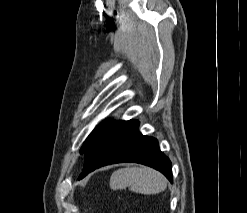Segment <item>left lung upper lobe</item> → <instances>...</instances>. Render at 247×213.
I'll list each match as a JSON object with an SVG mask.
<instances>
[{
    "instance_id": "5c2ea615",
    "label": "left lung upper lobe",
    "mask_w": 247,
    "mask_h": 213,
    "mask_svg": "<svg viewBox=\"0 0 247 213\" xmlns=\"http://www.w3.org/2000/svg\"><path fill=\"white\" fill-rule=\"evenodd\" d=\"M115 122L111 120L105 121L103 124L97 126L91 134L88 136L86 141L83 144V147L80 150V153H85L89 146L104 132H106Z\"/></svg>"
}]
</instances>
